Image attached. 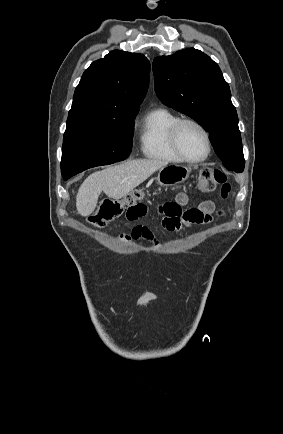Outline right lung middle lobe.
<instances>
[{
	"instance_id": "right-lung-middle-lobe-1",
	"label": "right lung middle lobe",
	"mask_w": 283,
	"mask_h": 434,
	"mask_svg": "<svg viewBox=\"0 0 283 434\" xmlns=\"http://www.w3.org/2000/svg\"><path fill=\"white\" fill-rule=\"evenodd\" d=\"M135 116L67 120L61 159L64 180L91 167L125 160L132 148Z\"/></svg>"
}]
</instances>
